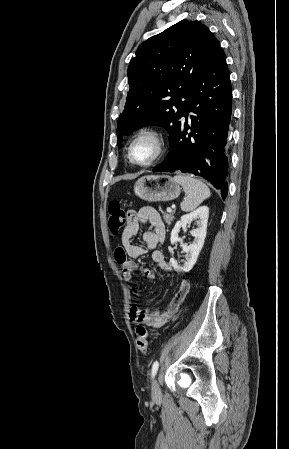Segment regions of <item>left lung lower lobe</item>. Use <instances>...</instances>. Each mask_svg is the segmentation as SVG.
<instances>
[{
    "label": "left lung lower lobe",
    "mask_w": 289,
    "mask_h": 449,
    "mask_svg": "<svg viewBox=\"0 0 289 449\" xmlns=\"http://www.w3.org/2000/svg\"><path fill=\"white\" fill-rule=\"evenodd\" d=\"M189 112L192 115L188 119ZM231 113L230 75L225 54L219 48L203 67L190 91L184 118L169 142V153L153 171L180 170L201 176L219 189L225 199Z\"/></svg>",
    "instance_id": "0a47b994"
}]
</instances>
